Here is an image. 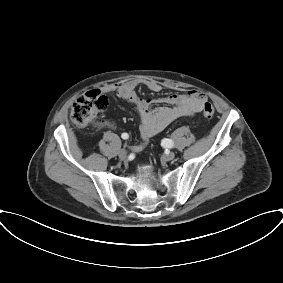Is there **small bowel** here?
Segmentation results:
<instances>
[{"label": "small bowel", "instance_id": "1", "mask_svg": "<svg viewBox=\"0 0 283 283\" xmlns=\"http://www.w3.org/2000/svg\"><path fill=\"white\" fill-rule=\"evenodd\" d=\"M141 84L152 92L162 90V85L155 80L142 83L136 80L121 84L113 83L96 90L101 94H116L120 99L129 103L138 114L141 121V142L130 147L132 152L141 151L148 144L152 136L162 131L174 120L181 117L192 116L200 112L204 103L207 102L206 95L198 90H191L185 94H172L164 98L143 99L139 97L136 92L138 86ZM160 103H167L171 105V107H153L155 104ZM102 126L109 129L116 128L112 121H104L102 122Z\"/></svg>", "mask_w": 283, "mask_h": 283}]
</instances>
